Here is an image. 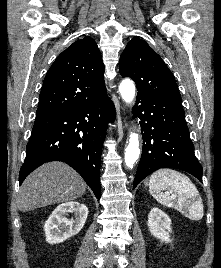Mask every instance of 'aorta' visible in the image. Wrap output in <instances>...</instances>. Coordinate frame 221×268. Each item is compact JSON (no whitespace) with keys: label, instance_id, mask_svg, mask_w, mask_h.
<instances>
[{"label":"aorta","instance_id":"1","mask_svg":"<svg viewBox=\"0 0 221 268\" xmlns=\"http://www.w3.org/2000/svg\"><path fill=\"white\" fill-rule=\"evenodd\" d=\"M119 92L122 99L130 104L135 97V85L132 80L124 79L119 85ZM140 154L139 135L131 132L129 135V144L125 151V164L128 168H132L134 163L138 160Z\"/></svg>","mask_w":221,"mask_h":268}]
</instances>
